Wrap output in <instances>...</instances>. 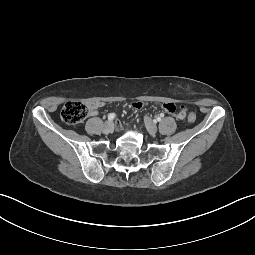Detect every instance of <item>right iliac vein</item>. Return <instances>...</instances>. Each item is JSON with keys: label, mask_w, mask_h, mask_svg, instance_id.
<instances>
[{"label": "right iliac vein", "mask_w": 255, "mask_h": 255, "mask_svg": "<svg viewBox=\"0 0 255 255\" xmlns=\"http://www.w3.org/2000/svg\"><path fill=\"white\" fill-rule=\"evenodd\" d=\"M114 125L112 123V121H107L105 122L104 126H103V132L108 134L111 133L113 131Z\"/></svg>", "instance_id": "right-iliac-vein-1"}]
</instances>
